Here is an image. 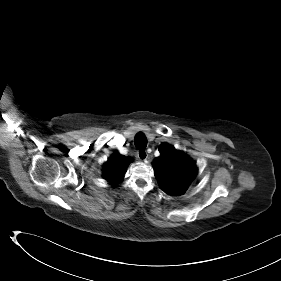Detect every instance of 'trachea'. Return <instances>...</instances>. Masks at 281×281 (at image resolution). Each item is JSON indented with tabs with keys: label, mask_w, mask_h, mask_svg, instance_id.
I'll list each match as a JSON object with an SVG mask.
<instances>
[{
	"label": "trachea",
	"mask_w": 281,
	"mask_h": 281,
	"mask_svg": "<svg viewBox=\"0 0 281 281\" xmlns=\"http://www.w3.org/2000/svg\"><path fill=\"white\" fill-rule=\"evenodd\" d=\"M134 144L138 149L145 148L147 146L146 136L142 132L137 133L134 138Z\"/></svg>",
	"instance_id": "3493384b"
}]
</instances>
